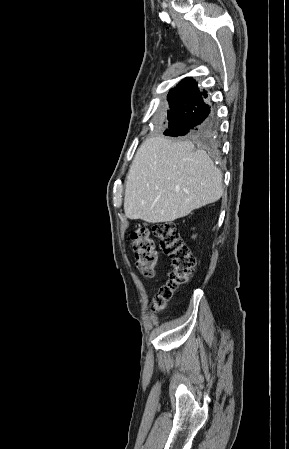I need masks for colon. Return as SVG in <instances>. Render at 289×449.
<instances>
[{"label":"colon","mask_w":289,"mask_h":449,"mask_svg":"<svg viewBox=\"0 0 289 449\" xmlns=\"http://www.w3.org/2000/svg\"><path fill=\"white\" fill-rule=\"evenodd\" d=\"M153 232L159 240L164 253L171 260V270L166 283L160 287L152 301L154 311H162L174 293L185 285L195 268V258L182 240L179 230L174 223L165 222L154 225ZM136 253V266L146 278H152L158 262L155 242L145 225L137 227L131 233Z\"/></svg>","instance_id":"colon-1"}]
</instances>
